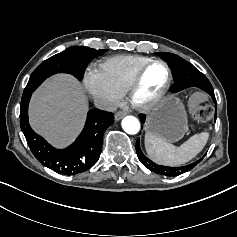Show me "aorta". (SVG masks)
Listing matches in <instances>:
<instances>
[{
  "label": "aorta",
  "mask_w": 237,
  "mask_h": 237,
  "mask_svg": "<svg viewBox=\"0 0 237 237\" xmlns=\"http://www.w3.org/2000/svg\"><path fill=\"white\" fill-rule=\"evenodd\" d=\"M121 125L123 130L131 135L138 133L140 130L139 120L134 116H126Z\"/></svg>",
  "instance_id": "1"
}]
</instances>
